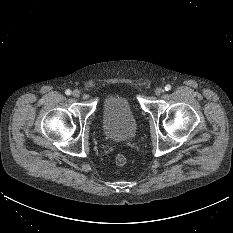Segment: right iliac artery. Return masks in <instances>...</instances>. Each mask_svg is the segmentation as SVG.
<instances>
[{
	"mask_svg": "<svg viewBox=\"0 0 233 233\" xmlns=\"http://www.w3.org/2000/svg\"><path fill=\"white\" fill-rule=\"evenodd\" d=\"M65 94H66V95H71V90L67 89V90L65 91Z\"/></svg>",
	"mask_w": 233,
	"mask_h": 233,
	"instance_id": "82829eb1",
	"label": "right iliac artery"
}]
</instances>
